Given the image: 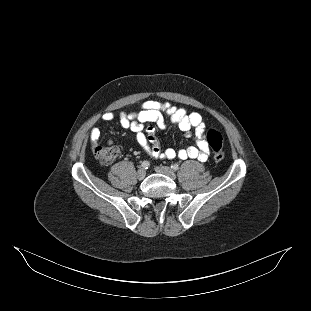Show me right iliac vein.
Returning a JSON list of instances; mask_svg holds the SVG:
<instances>
[{
  "label": "right iliac vein",
  "instance_id": "63e3f726",
  "mask_svg": "<svg viewBox=\"0 0 311 311\" xmlns=\"http://www.w3.org/2000/svg\"><path fill=\"white\" fill-rule=\"evenodd\" d=\"M145 176H146V172H145V170L144 169H139L138 171H137V178L139 179V180H143L144 178H145Z\"/></svg>",
  "mask_w": 311,
  "mask_h": 311
}]
</instances>
